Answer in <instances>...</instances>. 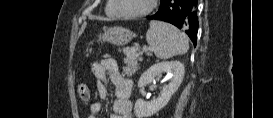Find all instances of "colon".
<instances>
[{"label": "colon", "instance_id": "5ec220e1", "mask_svg": "<svg viewBox=\"0 0 273 118\" xmlns=\"http://www.w3.org/2000/svg\"><path fill=\"white\" fill-rule=\"evenodd\" d=\"M77 93H78V95L81 98H83V97H85L87 95L88 88H87V86H86L85 83H83V82L78 83V85H77Z\"/></svg>", "mask_w": 273, "mask_h": 118}]
</instances>
